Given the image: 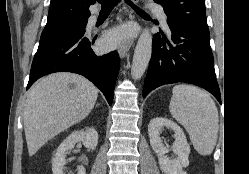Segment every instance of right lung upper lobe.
I'll return each instance as SVG.
<instances>
[{"label": "right lung upper lobe", "instance_id": "cb5924a9", "mask_svg": "<svg viewBox=\"0 0 249 174\" xmlns=\"http://www.w3.org/2000/svg\"><path fill=\"white\" fill-rule=\"evenodd\" d=\"M96 0H51L46 27L73 20H87Z\"/></svg>", "mask_w": 249, "mask_h": 174}]
</instances>
